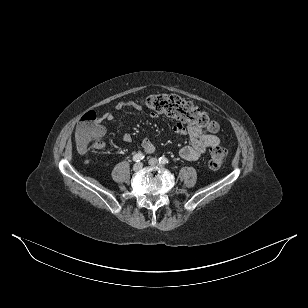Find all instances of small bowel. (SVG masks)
Segmentation results:
<instances>
[{
  "label": "small bowel",
  "instance_id": "1",
  "mask_svg": "<svg viewBox=\"0 0 308 308\" xmlns=\"http://www.w3.org/2000/svg\"><path fill=\"white\" fill-rule=\"evenodd\" d=\"M126 108H132L136 111L141 110V107L137 103L132 101H120L115 105V109L118 111H122ZM151 116L156 117L157 114L152 112ZM100 119L101 121L102 120L112 121L114 119V115L111 112H106L102 115ZM174 131L178 135H188L189 137L190 144L184 146L179 151L180 157L184 160L188 161L197 160L206 152L208 148H212L214 146H220L221 143L220 139L216 135L206 132L195 126H184L181 123H176L174 126ZM104 134H105V129H104ZM121 140L124 143H130L132 141V136L129 133H126L122 135ZM141 145L146 153H152L155 150L154 145L147 138H144L142 140ZM102 147L103 143L100 148Z\"/></svg>",
  "mask_w": 308,
  "mask_h": 308
}]
</instances>
